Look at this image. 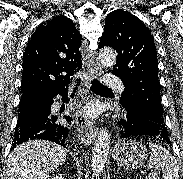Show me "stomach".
I'll list each match as a JSON object with an SVG mask.
<instances>
[{
    "label": "stomach",
    "instance_id": "1",
    "mask_svg": "<svg viewBox=\"0 0 183 179\" xmlns=\"http://www.w3.org/2000/svg\"><path fill=\"white\" fill-rule=\"evenodd\" d=\"M113 158L125 169H134L144 164L148 153L145 145L136 140L119 141L113 149Z\"/></svg>",
    "mask_w": 183,
    "mask_h": 179
}]
</instances>
